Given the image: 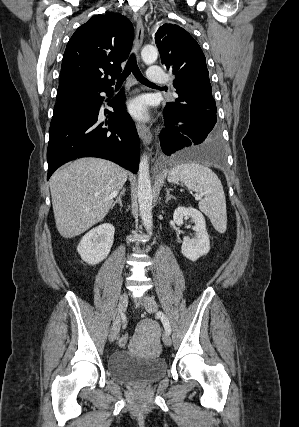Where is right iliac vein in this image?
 <instances>
[{
    "label": "right iliac vein",
    "mask_w": 299,
    "mask_h": 427,
    "mask_svg": "<svg viewBox=\"0 0 299 427\" xmlns=\"http://www.w3.org/2000/svg\"><path fill=\"white\" fill-rule=\"evenodd\" d=\"M128 305V294L124 291L119 299V303H118V312H117V321L114 324L113 328L111 329V332L109 334V341L113 342L118 334H119V330H120V317L123 315V313L125 312L126 308Z\"/></svg>",
    "instance_id": "63e3f726"
}]
</instances>
